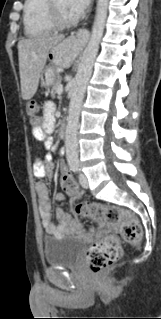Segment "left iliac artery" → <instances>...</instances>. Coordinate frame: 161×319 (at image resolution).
<instances>
[{"label": "left iliac artery", "instance_id": "obj_1", "mask_svg": "<svg viewBox=\"0 0 161 319\" xmlns=\"http://www.w3.org/2000/svg\"><path fill=\"white\" fill-rule=\"evenodd\" d=\"M71 169H72L74 172L78 173L79 170H80L78 163H74V164L71 166Z\"/></svg>", "mask_w": 161, "mask_h": 319}]
</instances>
